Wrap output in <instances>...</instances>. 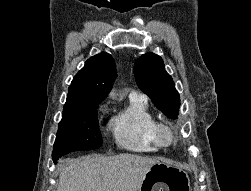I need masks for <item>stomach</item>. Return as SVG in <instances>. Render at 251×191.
<instances>
[{
    "mask_svg": "<svg viewBox=\"0 0 251 191\" xmlns=\"http://www.w3.org/2000/svg\"><path fill=\"white\" fill-rule=\"evenodd\" d=\"M139 191H190V181L180 167L157 161L147 171Z\"/></svg>",
    "mask_w": 251,
    "mask_h": 191,
    "instance_id": "obj_1",
    "label": "stomach"
}]
</instances>
